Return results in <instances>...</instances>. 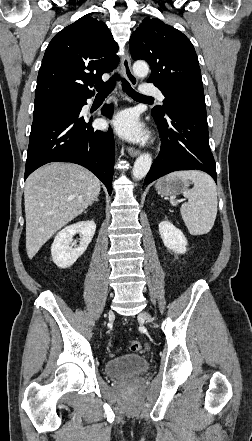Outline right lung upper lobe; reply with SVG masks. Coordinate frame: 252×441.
<instances>
[{"label": "right lung upper lobe", "mask_w": 252, "mask_h": 441, "mask_svg": "<svg viewBox=\"0 0 252 441\" xmlns=\"http://www.w3.org/2000/svg\"><path fill=\"white\" fill-rule=\"evenodd\" d=\"M117 43L103 21L85 15L49 43L37 78L35 103L61 96L90 97L93 83L116 67Z\"/></svg>", "instance_id": "right-lung-upper-lobe-1"}]
</instances>
